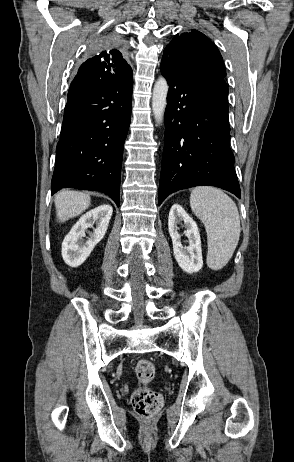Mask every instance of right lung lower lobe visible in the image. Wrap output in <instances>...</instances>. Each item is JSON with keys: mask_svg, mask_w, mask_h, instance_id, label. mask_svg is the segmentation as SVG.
Returning a JSON list of instances; mask_svg holds the SVG:
<instances>
[{"mask_svg": "<svg viewBox=\"0 0 294 462\" xmlns=\"http://www.w3.org/2000/svg\"><path fill=\"white\" fill-rule=\"evenodd\" d=\"M132 90L133 74L109 87L68 94L51 195L65 187L95 190L106 193L119 206Z\"/></svg>", "mask_w": 294, "mask_h": 462, "instance_id": "1", "label": "right lung lower lobe"}]
</instances>
